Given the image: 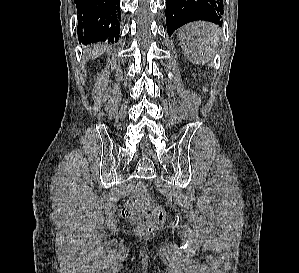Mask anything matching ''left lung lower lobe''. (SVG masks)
Returning a JSON list of instances; mask_svg holds the SVG:
<instances>
[{
    "mask_svg": "<svg viewBox=\"0 0 299 273\" xmlns=\"http://www.w3.org/2000/svg\"><path fill=\"white\" fill-rule=\"evenodd\" d=\"M167 32L170 35L182 25L206 20L222 25V0H166Z\"/></svg>",
    "mask_w": 299,
    "mask_h": 273,
    "instance_id": "0a47b994",
    "label": "left lung lower lobe"
}]
</instances>
